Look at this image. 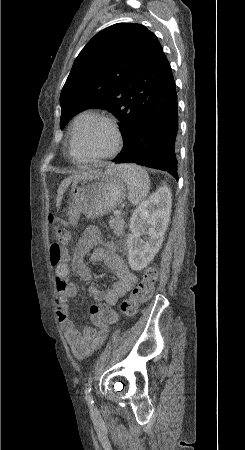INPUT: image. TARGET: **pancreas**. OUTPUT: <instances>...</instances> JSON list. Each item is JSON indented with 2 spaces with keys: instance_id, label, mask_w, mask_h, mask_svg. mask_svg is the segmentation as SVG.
<instances>
[{
  "instance_id": "cf45deb5",
  "label": "pancreas",
  "mask_w": 245,
  "mask_h": 450,
  "mask_svg": "<svg viewBox=\"0 0 245 450\" xmlns=\"http://www.w3.org/2000/svg\"><path fill=\"white\" fill-rule=\"evenodd\" d=\"M110 228L114 229V234L117 236H121L123 234V228H124V220L121 216L116 215L114 218H111L109 221Z\"/></svg>"
}]
</instances>
